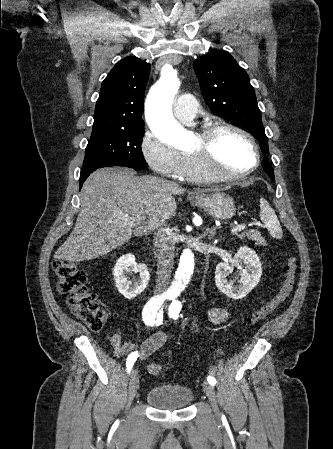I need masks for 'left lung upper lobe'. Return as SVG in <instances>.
<instances>
[{"instance_id": "1", "label": "left lung upper lobe", "mask_w": 333, "mask_h": 449, "mask_svg": "<svg viewBox=\"0 0 333 449\" xmlns=\"http://www.w3.org/2000/svg\"><path fill=\"white\" fill-rule=\"evenodd\" d=\"M194 69L211 112L242 126L259 141L263 155L268 154V138L261 111L246 71L226 51H215L197 58ZM264 171L274 180L272 168Z\"/></svg>"}]
</instances>
